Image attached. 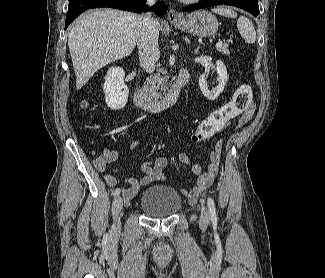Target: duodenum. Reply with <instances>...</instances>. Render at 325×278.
<instances>
[{"mask_svg": "<svg viewBox=\"0 0 325 278\" xmlns=\"http://www.w3.org/2000/svg\"><path fill=\"white\" fill-rule=\"evenodd\" d=\"M189 81V72L187 70L180 71L173 84L161 99H154L144 94L138 85L135 84L132 88L133 102L136 106L147 111L160 112L171 107L176 102L180 90L187 85Z\"/></svg>", "mask_w": 325, "mask_h": 278, "instance_id": "obj_1", "label": "duodenum"}]
</instances>
